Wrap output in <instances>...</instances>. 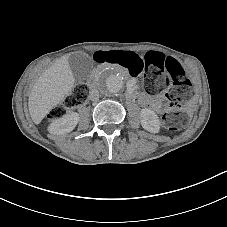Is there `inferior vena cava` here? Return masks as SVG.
Listing matches in <instances>:
<instances>
[{
    "mask_svg": "<svg viewBox=\"0 0 227 227\" xmlns=\"http://www.w3.org/2000/svg\"><path fill=\"white\" fill-rule=\"evenodd\" d=\"M89 95L91 101L97 102L99 100V91L97 89H91Z\"/></svg>",
    "mask_w": 227,
    "mask_h": 227,
    "instance_id": "obj_1",
    "label": "inferior vena cava"
}]
</instances>
